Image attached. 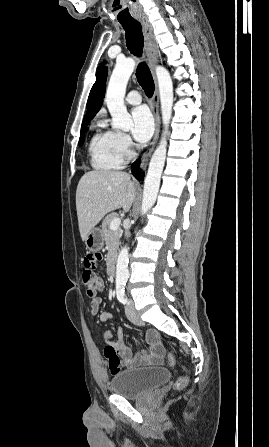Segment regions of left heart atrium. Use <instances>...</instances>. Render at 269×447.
Masks as SVG:
<instances>
[{
    "mask_svg": "<svg viewBox=\"0 0 269 447\" xmlns=\"http://www.w3.org/2000/svg\"><path fill=\"white\" fill-rule=\"evenodd\" d=\"M132 134L139 142L149 140L154 131V119L146 106H140L132 111Z\"/></svg>",
    "mask_w": 269,
    "mask_h": 447,
    "instance_id": "left-heart-atrium-1",
    "label": "left heart atrium"
}]
</instances>
